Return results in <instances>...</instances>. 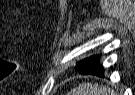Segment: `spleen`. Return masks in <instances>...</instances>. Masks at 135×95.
<instances>
[{
  "label": "spleen",
  "mask_w": 135,
  "mask_h": 95,
  "mask_svg": "<svg viewBox=\"0 0 135 95\" xmlns=\"http://www.w3.org/2000/svg\"><path fill=\"white\" fill-rule=\"evenodd\" d=\"M68 95H113L109 87L99 86L97 83H81L74 88Z\"/></svg>",
  "instance_id": "obj_1"
}]
</instances>
